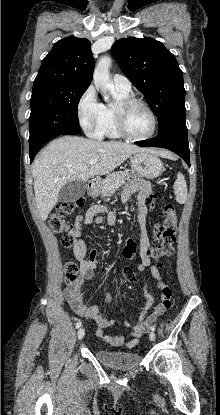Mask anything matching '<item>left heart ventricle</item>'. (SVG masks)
Instances as JSON below:
<instances>
[{"label": "left heart ventricle", "instance_id": "obj_1", "mask_svg": "<svg viewBox=\"0 0 220 415\" xmlns=\"http://www.w3.org/2000/svg\"><path fill=\"white\" fill-rule=\"evenodd\" d=\"M127 131L136 137L147 135L152 129L150 114L140 106L130 108L125 114Z\"/></svg>", "mask_w": 220, "mask_h": 415}]
</instances>
